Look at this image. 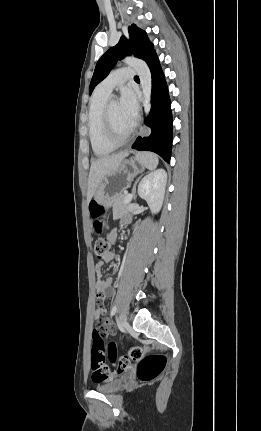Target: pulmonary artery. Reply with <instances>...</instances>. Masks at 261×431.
<instances>
[{
	"label": "pulmonary artery",
	"instance_id": "obj_1",
	"mask_svg": "<svg viewBox=\"0 0 261 431\" xmlns=\"http://www.w3.org/2000/svg\"><path fill=\"white\" fill-rule=\"evenodd\" d=\"M135 70L133 68H120L110 73L103 81H101L96 90L101 93L110 95V93L125 81L133 79Z\"/></svg>",
	"mask_w": 261,
	"mask_h": 431
}]
</instances>
